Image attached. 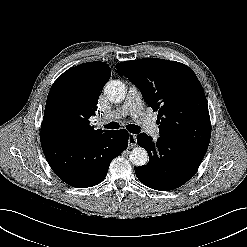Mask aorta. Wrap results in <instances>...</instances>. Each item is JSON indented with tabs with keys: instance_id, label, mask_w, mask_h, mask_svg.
<instances>
[{
	"instance_id": "1",
	"label": "aorta",
	"mask_w": 247,
	"mask_h": 247,
	"mask_svg": "<svg viewBox=\"0 0 247 247\" xmlns=\"http://www.w3.org/2000/svg\"><path fill=\"white\" fill-rule=\"evenodd\" d=\"M126 86L119 80H111L104 87V94L109 101L119 103L126 97ZM130 162L135 166H144L148 162V153L144 148L135 147L129 155Z\"/></svg>"
}]
</instances>
